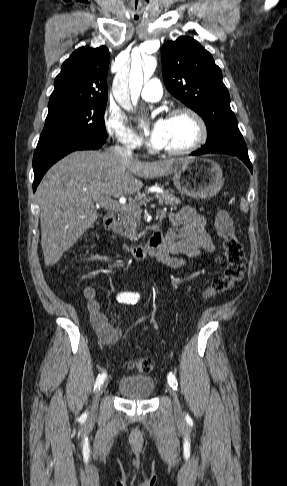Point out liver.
Returning <instances> with one entry per match:
<instances>
[{"mask_svg":"<svg viewBox=\"0 0 287 486\" xmlns=\"http://www.w3.org/2000/svg\"><path fill=\"white\" fill-rule=\"evenodd\" d=\"M189 159L143 162L124 159L111 149L76 151L61 159L47 171L36 191L45 265H55L97 220L94 203L98 199L134 194L143 186L139 178L171 174Z\"/></svg>","mask_w":287,"mask_h":486,"instance_id":"1","label":"liver"}]
</instances>
